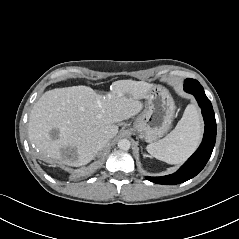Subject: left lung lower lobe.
<instances>
[{"instance_id": "obj_1", "label": "left lung lower lobe", "mask_w": 239, "mask_h": 239, "mask_svg": "<svg viewBox=\"0 0 239 239\" xmlns=\"http://www.w3.org/2000/svg\"><path fill=\"white\" fill-rule=\"evenodd\" d=\"M184 90L195 96L204 117L205 131L201 145L197 151L174 174L163 177H146L157 184H180L196 176L209 160L216 141V120L210 100L205 95L199 82L184 83Z\"/></svg>"}]
</instances>
